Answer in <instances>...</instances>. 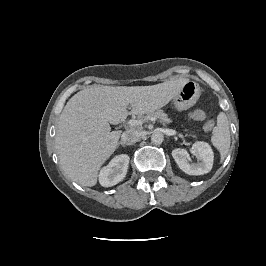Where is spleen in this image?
<instances>
[{
	"label": "spleen",
	"instance_id": "obj_1",
	"mask_svg": "<svg viewBox=\"0 0 266 266\" xmlns=\"http://www.w3.org/2000/svg\"><path fill=\"white\" fill-rule=\"evenodd\" d=\"M211 142L220 152L221 160H224L230 148V131L227 116L223 112L217 117V126L213 129Z\"/></svg>",
	"mask_w": 266,
	"mask_h": 266
}]
</instances>
